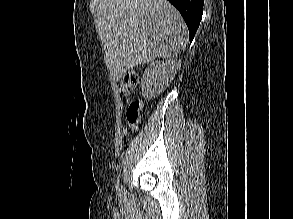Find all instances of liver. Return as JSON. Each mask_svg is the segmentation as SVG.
<instances>
[{
	"instance_id": "1",
	"label": "liver",
	"mask_w": 293,
	"mask_h": 219,
	"mask_svg": "<svg viewBox=\"0 0 293 219\" xmlns=\"http://www.w3.org/2000/svg\"><path fill=\"white\" fill-rule=\"evenodd\" d=\"M95 19L115 81L136 65L174 57L186 45V24L167 0H99Z\"/></svg>"
}]
</instances>
